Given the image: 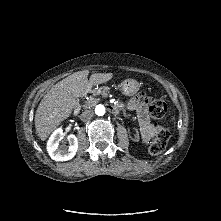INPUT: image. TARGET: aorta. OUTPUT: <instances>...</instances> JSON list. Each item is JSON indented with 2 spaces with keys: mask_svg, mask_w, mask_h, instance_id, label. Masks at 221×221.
<instances>
[{
  "mask_svg": "<svg viewBox=\"0 0 221 221\" xmlns=\"http://www.w3.org/2000/svg\"><path fill=\"white\" fill-rule=\"evenodd\" d=\"M95 114L98 116H103L105 114V107L103 105H97L95 107Z\"/></svg>",
  "mask_w": 221,
  "mask_h": 221,
  "instance_id": "762f6f07",
  "label": "aorta"
}]
</instances>
